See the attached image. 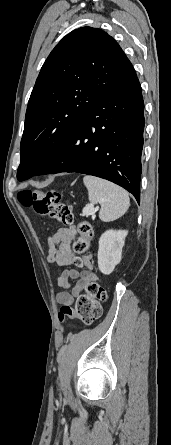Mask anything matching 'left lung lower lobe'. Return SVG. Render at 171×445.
Instances as JSON below:
<instances>
[{
	"mask_svg": "<svg viewBox=\"0 0 171 445\" xmlns=\"http://www.w3.org/2000/svg\"><path fill=\"white\" fill-rule=\"evenodd\" d=\"M144 102L134 72L80 117L56 155L35 175L78 172L116 183L140 202Z\"/></svg>",
	"mask_w": 171,
	"mask_h": 445,
	"instance_id": "0a47b994",
	"label": "left lung lower lobe"
}]
</instances>
